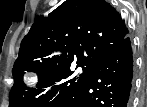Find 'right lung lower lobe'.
I'll return each instance as SVG.
<instances>
[{"label":"right lung lower lobe","mask_w":147,"mask_h":107,"mask_svg":"<svg viewBox=\"0 0 147 107\" xmlns=\"http://www.w3.org/2000/svg\"><path fill=\"white\" fill-rule=\"evenodd\" d=\"M133 53L129 36L105 57L87 81L56 107H130Z\"/></svg>","instance_id":"98d812e1"}]
</instances>
